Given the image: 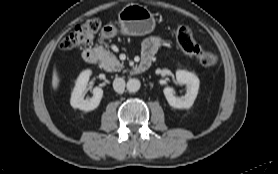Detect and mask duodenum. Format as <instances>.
<instances>
[{
  "label": "duodenum",
  "mask_w": 278,
  "mask_h": 174,
  "mask_svg": "<svg viewBox=\"0 0 278 174\" xmlns=\"http://www.w3.org/2000/svg\"><path fill=\"white\" fill-rule=\"evenodd\" d=\"M98 50L95 48H89L84 50L83 59L89 64H94L98 59ZM151 65V58H143L133 69L134 73L145 72Z\"/></svg>",
  "instance_id": "410a0bca"
}]
</instances>
